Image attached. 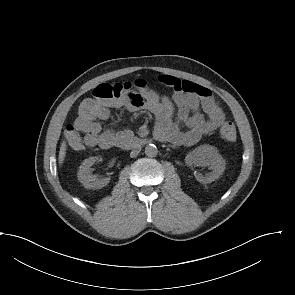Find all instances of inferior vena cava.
<instances>
[{
  "instance_id": "1",
  "label": "inferior vena cava",
  "mask_w": 295,
  "mask_h": 295,
  "mask_svg": "<svg viewBox=\"0 0 295 295\" xmlns=\"http://www.w3.org/2000/svg\"><path fill=\"white\" fill-rule=\"evenodd\" d=\"M141 150V146L140 145H135L130 153V157H136L138 155V153Z\"/></svg>"
}]
</instances>
